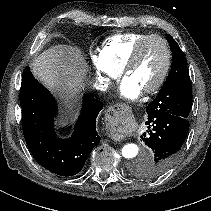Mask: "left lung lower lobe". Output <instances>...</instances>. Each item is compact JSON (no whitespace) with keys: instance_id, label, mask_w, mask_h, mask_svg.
<instances>
[{"instance_id":"1","label":"left lung lower lobe","mask_w":211,"mask_h":211,"mask_svg":"<svg viewBox=\"0 0 211 211\" xmlns=\"http://www.w3.org/2000/svg\"><path fill=\"white\" fill-rule=\"evenodd\" d=\"M146 125L149 130L141 138L150 148L151 159L144 161L140 168L144 176L154 178L177 160L189 130V122L183 117L166 113L148 117Z\"/></svg>"}]
</instances>
